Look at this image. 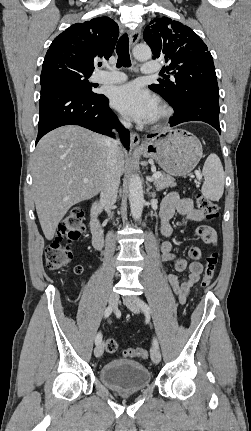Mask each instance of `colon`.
Here are the masks:
<instances>
[{
	"mask_svg": "<svg viewBox=\"0 0 251 431\" xmlns=\"http://www.w3.org/2000/svg\"><path fill=\"white\" fill-rule=\"evenodd\" d=\"M196 202L200 211L209 220H213L218 216L217 205L203 196L202 194L196 195ZM84 212L80 207H73L63 218L58 228L57 237L47 246L45 250L46 264L50 271H58L66 267L72 259V250L69 243L77 240L83 230ZM219 255L217 252H211L205 263V270L201 280V287L207 288L213 281L215 276ZM74 273L79 275L83 269L81 266L74 267ZM105 350L109 353H114L117 348V342L114 339H107L104 343ZM124 357H138L147 359L149 353L146 349L140 347L127 348L123 352Z\"/></svg>",
	"mask_w": 251,
	"mask_h": 431,
	"instance_id": "1",
	"label": "colon"
}]
</instances>
